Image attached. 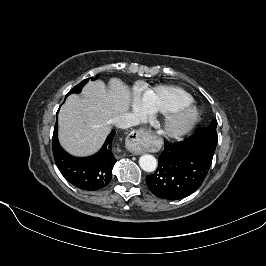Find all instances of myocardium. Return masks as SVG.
<instances>
[{
  "mask_svg": "<svg viewBox=\"0 0 266 266\" xmlns=\"http://www.w3.org/2000/svg\"><path fill=\"white\" fill-rule=\"evenodd\" d=\"M200 110L193 103L181 105L166 113L159 125L163 136L179 139L187 135L197 124Z\"/></svg>",
  "mask_w": 266,
  "mask_h": 266,
  "instance_id": "1",
  "label": "myocardium"
}]
</instances>
